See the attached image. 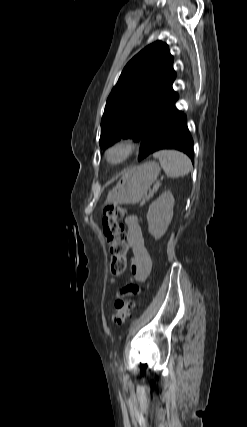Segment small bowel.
<instances>
[{
  "label": "small bowel",
  "mask_w": 247,
  "mask_h": 427,
  "mask_svg": "<svg viewBox=\"0 0 247 427\" xmlns=\"http://www.w3.org/2000/svg\"><path fill=\"white\" fill-rule=\"evenodd\" d=\"M127 227V242L132 250L131 273L133 280L143 281L147 277L151 268V259L146 249L141 226L136 216L125 218ZM138 287L130 281L118 294H135Z\"/></svg>",
  "instance_id": "1"
}]
</instances>
